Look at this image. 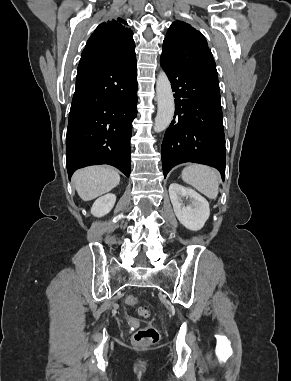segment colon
Returning a JSON list of instances; mask_svg holds the SVG:
<instances>
[{
    "label": "colon",
    "mask_w": 291,
    "mask_h": 381,
    "mask_svg": "<svg viewBox=\"0 0 291 381\" xmlns=\"http://www.w3.org/2000/svg\"><path fill=\"white\" fill-rule=\"evenodd\" d=\"M125 302L129 306H134L137 304L138 299L133 295H129L126 297ZM139 314L145 318L149 317L150 315L149 311L143 307L139 309ZM158 339V330L153 326H147L145 328H142L136 331L133 335V342L138 346H148L155 344L158 341Z\"/></svg>",
    "instance_id": "colon-1"
}]
</instances>
